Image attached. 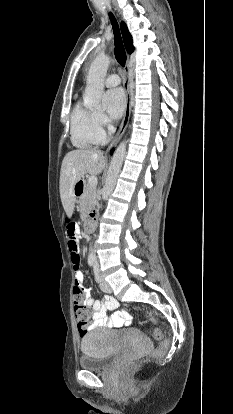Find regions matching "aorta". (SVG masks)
Wrapping results in <instances>:
<instances>
[{
  "instance_id": "obj_1",
  "label": "aorta",
  "mask_w": 233,
  "mask_h": 414,
  "mask_svg": "<svg viewBox=\"0 0 233 414\" xmlns=\"http://www.w3.org/2000/svg\"><path fill=\"white\" fill-rule=\"evenodd\" d=\"M110 64V58L105 54H99L92 62L88 75L87 83L84 94V104L91 109H101V98L104 91V81L106 73ZM126 154V141H123L116 148L110 167L107 172L105 185L102 189V199L107 200L113 192L116 180L121 169L124 157ZM88 260L95 262L96 255L94 251H91L88 255Z\"/></svg>"
}]
</instances>
